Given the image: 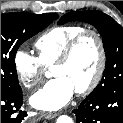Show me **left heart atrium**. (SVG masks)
Instances as JSON below:
<instances>
[{"label":"left heart atrium","instance_id":"1","mask_svg":"<svg viewBox=\"0 0 123 123\" xmlns=\"http://www.w3.org/2000/svg\"><path fill=\"white\" fill-rule=\"evenodd\" d=\"M74 91L75 89L68 79L56 77L33 94L30 103L40 110H58L71 100Z\"/></svg>","mask_w":123,"mask_h":123}]
</instances>
